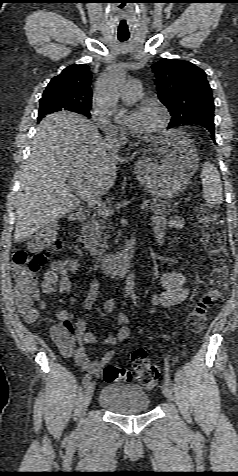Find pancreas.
Wrapping results in <instances>:
<instances>
[{"label":"pancreas","instance_id":"cf45deb5","mask_svg":"<svg viewBox=\"0 0 238 476\" xmlns=\"http://www.w3.org/2000/svg\"><path fill=\"white\" fill-rule=\"evenodd\" d=\"M151 203L150 210L154 214H166L173 212V207L168 201L148 200ZM107 216L95 213L83 229V244L86 249L95 256H101L108 249L107 240L109 238L107 229Z\"/></svg>","mask_w":238,"mask_h":476}]
</instances>
